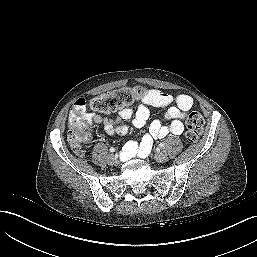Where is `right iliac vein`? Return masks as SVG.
Here are the masks:
<instances>
[{
    "instance_id": "63e3f726",
    "label": "right iliac vein",
    "mask_w": 257,
    "mask_h": 257,
    "mask_svg": "<svg viewBox=\"0 0 257 257\" xmlns=\"http://www.w3.org/2000/svg\"><path fill=\"white\" fill-rule=\"evenodd\" d=\"M117 160H118V157H117V155H114V154L109 155V157L107 159L108 163H110V164L117 163Z\"/></svg>"
}]
</instances>
